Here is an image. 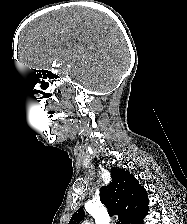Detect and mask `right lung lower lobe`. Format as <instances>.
Listing matches in <instances>:
<instances>
[{
    "instance_id": "obj_1",
    "label": "right lung lower lobe",
    "mask_w": 187,
    "mask_h": 224,
    "mask_svg": "<svg viewBox=\"0 0 187 224\" xmlns=\"http://www.w3.org/2000/svg\"><path fill=\"white\" fill-rule=\"evenodd\" d=\"M146 213H147V212H146ZM146 213H145L143 216L139 217V218L134 222V224H144V223H143V218H144V216L146 215Z\"/></svg>"
}]
</instances>
